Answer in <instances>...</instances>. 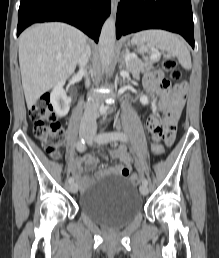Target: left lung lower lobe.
I'll use <instances>...</instances> for the list:
<instances>
[{
    "label": "left lung lower lobe",
    "instance_id": "0a47b994",
    "mask_svg": "<svg viewBox=\"0 0 219 258\" xmlns=\"http://www.w3.org/2000/svg\"><path fill=\"white\" fill-rule=\"evenodd\" d=\"M164 29L181 34L194 48L191 0H121L116 18V37L145 29Z\"/></svg>",
    "mask_w": 219,
    "mask_h": 258
}]
</instances>
